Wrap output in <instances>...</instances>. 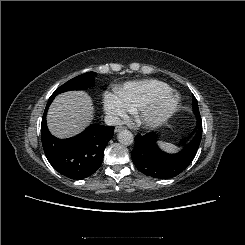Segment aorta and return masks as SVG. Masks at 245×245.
I'll use <instances>...</instances> for the list:
<instances>
[{"label":"aorta","instance_id":"obj_1","mask_svg":"<svg viewBox=\"0 0 245 245\" xmlns=\"http://www.w3.org/2000/svg\"><path fill=\"white\" fill-rule=\"evenodd\" d=\"M118 141L122 144V145H131L134 141V137L133 134L128 131V130H121L118 133Z\"/></svg>","mask_w":245,"mask_h":245}]
</instances>
